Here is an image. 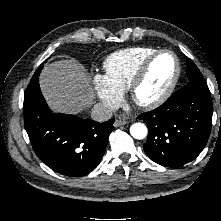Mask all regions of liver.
I'll return each mask as SVG.
<instances>
[{
    "mask_svg": "<svg viewBox=\"0 0 221 221\" xmlns=\"http://www.w3.org/2000/svg\"><path fill=\"white\" fill-rule=\"evenodd\" d=\"M39 83L45 100L55 112L78 114L93 102L90 77L74 59L45 66Z\"/></svg>",
    "mask_w": 221,
    "mask_h": 221,
    "instance_id": "1",
    "label": "liver"
}]
</instances>
